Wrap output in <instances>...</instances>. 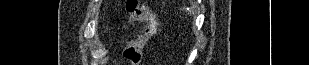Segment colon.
Returning a JSON list of instances; mask_svg holds the SVG:
<instances>
[{"mask_svg":"<svg viewBox=\"0 0 309 65\" xmlns=\"http://www.w3.org/2000/svg\"><path fill=\"white\" fill-rule=\"evenodd\" d=\"M126 12L129 22L143 21L145 23L142 34L130 41L123 53L124 60L128 65H140L143 48L157 33L158 19L145 3L136 0L128 1Z\"/></svg>","mask_w":309,"mask_h":65,"instance_id":"1","label":"colon"}]
</instances>
